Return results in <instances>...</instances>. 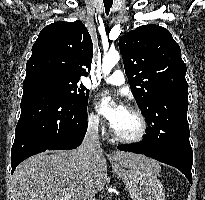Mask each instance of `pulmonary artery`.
Here are the masks:
<instances>
[{
    "mask_svg": "<svg viewBox=\"0 0 205 200\" xmlns=\"http://www.w3.org/2000/svg\"><path fill=\"white\" fill-rule=\"evenodd\" d=\"M105 82L120 86L125 83V76L122 71L116 70L112 75L104 79Z\"/></svg>",
    "mask_w": 205,
    "mask_h": 200,
    "instance_id": "1",
    "label": "pulmonary artery"
}]
</instances>
